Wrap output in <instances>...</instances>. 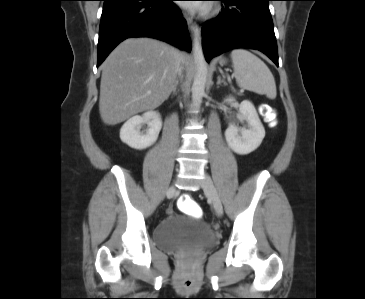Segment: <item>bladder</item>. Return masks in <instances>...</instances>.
<instances>
[{
	"mask_svg": "<svg viewBox=\"0 0 365 299\" xmlns=\"http://www.w3.org/2000/svg\"><path fill=\"white\" fill-rule=\"evenodd\" d=\"M156 246L166 252L205 250L217 239L209 224L185 215H173L156 225L153 232Z\"/></svg>",
	"mask_w": 365,
	"mask_h": 299,
	"instance_id": "obj_1",
	"label": "bladder"
}]
</instances>
